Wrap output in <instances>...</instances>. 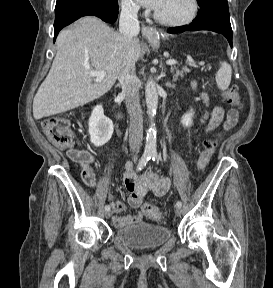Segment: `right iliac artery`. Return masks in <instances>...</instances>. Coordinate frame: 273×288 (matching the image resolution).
Returning <instances> with one entry per match:
<instances>
[{"instance_id":"1","label":"right iliac artery","mask_w":273,"mask_h":288,"mask_svg":"<svg viewBox=\"0 0 273 288\" xmlns=\"http://www.w3.org/2000/svg\"><path fill=\"white\" fill-rule=\"evenodd\" d=\"M151 159V155L150 154H143L139 164H138V167H137V170H141L146 164L147 162ZM110 210V206L109 205H106L105 206V211H109Z\"/></svg>"}]
</instances>
